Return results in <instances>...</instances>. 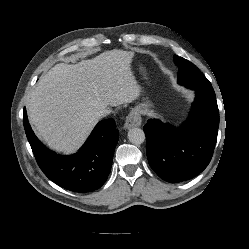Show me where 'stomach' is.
Masks as SVG:
<instances>
[{
	"instance_id": "stomach-1",
	"label": "stomach",
	"mask_w": 249,
	"mask_h": 249,
	"mask_svg": "<svg viewBox=\"0 0 249 249\" xmlns=\"http://www.w3.org/2000/svg\"><path fill=\"white\" fill-rule=\"evenodd\" d=\"M136 111L140 114H146L149 112V104L143 103L136 107Z\"/></svg>"
}]
</instances>
